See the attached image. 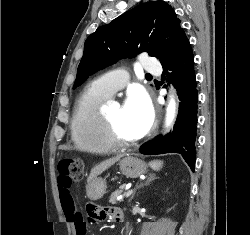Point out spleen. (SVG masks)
I'll return each instance as SVG.
<instances>
[{
  "instance_id": "spleen-1",
  "label": "spleen",
  "mask_w": 250,
  "mask_h": 235,
  "mask_svg": "<svg viewBox=\"0 0 250 235\" xmlns=\"http://www.w3.org/2000/svg\"><path fill=\"white\" fill-rule=\"evenodd\" d=\"M163 162L160 160H155V161H151L149 162V166L155 170V171H159L162 168Z\"/></svg>"
}]
</instances>
